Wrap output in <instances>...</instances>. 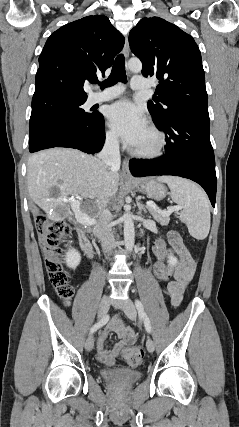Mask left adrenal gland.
<instances>
[{
  "label": "left adrenal gland",
  "mask_w": 239,
  "mask_h": 427,
  "mask_svg": "<svg viewBox=\"0 0 239 427\" xmlns=\"http://www.w3.org/2000/svg\"><path fill=\"white\" fill-rule=\"evenodd\" d=\"M136 202L139 209V213L143 211L146 214L147 213L146 207L142 203H140L139 200H137Z\"/></svg>",
  "instance_id": "left-adrenal-gland-1"
}]
</instances>
